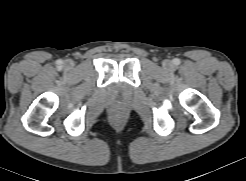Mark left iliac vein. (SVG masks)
I'll return each mask as SVG.
<instances>
[{
  "label": "left iliac vein",
  "instance_id": "obj_1",
  "mask_svg": "<svg viewBox=\"0 0 246 181\" xmlns=\"http://www.w3.org/2000/svg\"><path fill=\"white\" fill-rule=\"evenodd\" d=\"M164 66L167 67V68H171L172 67V65H171V63L169 61H166L164 63Z\"/></svg>",
  "mask_w": 246,
  "mask_h": 181
}]
</instances>
